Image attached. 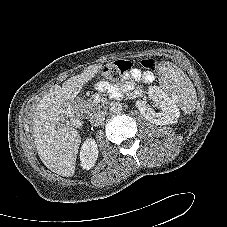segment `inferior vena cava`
<instances>
[{
    "instance_id": "602c4592",
    "label": "inferior vena cava",
    "mask_w": 227,
    "mask_h": 227,
    "mask_svg": "<svg viewBox=\"0 0 227 227\" xmlns=\"http://www.w3.org/2000/svg\"><path fill=\"white\" fill-rule=\"evenodd\" d=\"M105 120V113L103 111L97 110L90 114L89 121L93 126H99L103 124Z\"/></svg>"
}]
</instances>
